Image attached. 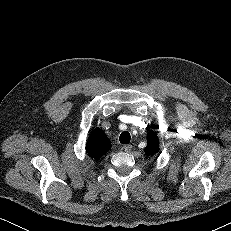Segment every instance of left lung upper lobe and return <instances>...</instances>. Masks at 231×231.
Listing matches in <instances>:
<instances>
[{
  "instance_id": "1",
  "label": "left lung upper lobe",
  "mask_w": 231,
  "mask_h": 231,
  "mask_svg": "<svg viewBox=\"0 0 231 231\" xmlns=\"http://www.w3.org/2000/svg\"><path fill=\"white\" fill-rule=\"evenodd\" d=\"M144 151L146 155H154L159 151V139L154 131L147 134V146Z\"/></svg>"
}]
</instances>
